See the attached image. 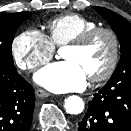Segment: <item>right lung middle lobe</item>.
Segmentation results:
<instances>
[{"label":"right lung middle lobe","instance_id":"right-lung-middle-lobe-1","mask_svg":"<svg viewBox=\"0 0 131 131\" xmlns=\"http://www.w3.org/2000/svg\"><path fill=\"white\" fill-rule=\"evenodd\" d=\"M30 17V12L0 13V64L14 66L11 44L19 26Z\"/></svg>","mask_w":131,"mask_h":131}]
</instances>
